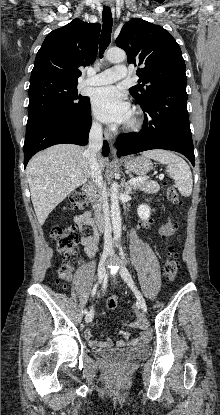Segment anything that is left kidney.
Returning <instances> with one entry per match:
<instances>
[{"label":"left kidney","mask_w":220,"mask_h":415,"mask_svg":"<svg viewBox=\"0 0 220 415\" xmlns=\"http://www.w3.org/2000/svg\"><path fill=\"white\" fill-rule=\"evenodd\" d=\"M137 213L142 220H148L150 217V207L147 204H141L138 209Z\"/></svg>","instance_id":"5707ae66"}]
</instances>
